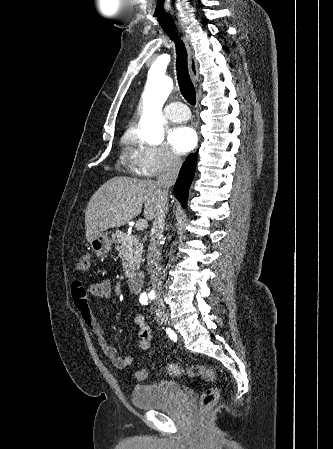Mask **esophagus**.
Instances as JSON below:
<instances>
[{"label":"esophagus","mask_w":333,"mask_h":449,"mask_svg":"<svg viewBox=\"0 0 333 449\" xmlns=\"http://www.w3.org/2000/svg\"><path fill=\"white\" fill-rule=\"evenodd\" d=\"M178 32L181 35V37L186 45L187 51H188V67H189L190 74H191L193 80L197 81L198 80V64H197V60L195 59V56H194L193 48H192L191 41H190V36L183 29H179Z\"/></svg>","instance_id":"34e87169"}]
</instances>
